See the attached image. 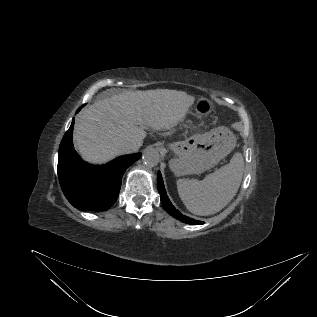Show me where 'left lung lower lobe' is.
Returning a JSON list of instances; mask_svg holds the SVG:
<instances>
[{"label": "left lung lower lobe", "instance_id": "1", "mask_svg": "<svg viewBox=\"0 0 317 317\" xmlns=\"http://www.w3.org/2000/svg\"><path fill=\"white\" fill-rule=\"evenodd\" d=\"M157 179H158L157 185H158V191L160 193V199H161L166 211L170 215H172L176 219H178L184 223H187V224H191V225L203 224L202 221H197V220H194V219L189 218L187 216H184L178 210H176V208L171 204L170 200L167 197L166 190H165L164 184H163V179H162L160 172H158Z\"/></svg>", "mask_w": 317, "mask_h": 317}]
</instances>
